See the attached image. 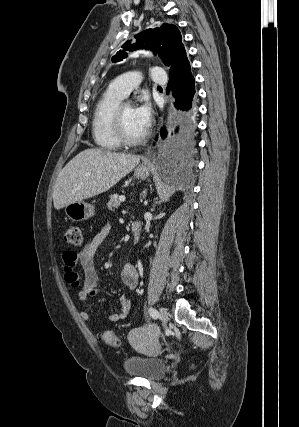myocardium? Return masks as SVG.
Here are the masks:
<instances>
[{"label":"myocardium","instance_id":"1","mask_svg":"<svg viewBox=\"0 0 299 427\" xmlns=\"http://www.w3.org/2000/svg\"><path fill=\"white\" fill-rule=\"evenodd\" d=\"M126 106H132L130 102H123L121 101L116 108L114 109L112 113V130L116 137V139L119 141L120 144L126 145V146H133L140 144L145 140L147 137L148 132L145 131L141 135L137 137H129L124 130L123 126V110Z\"/></svg>","mask_w":299,"mask_h":427}]
</instances>
